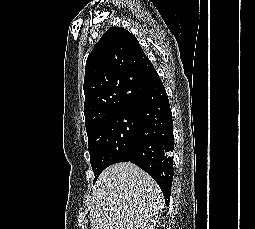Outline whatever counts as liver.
I'll return each instance as SVG.
<instances>
[{
  "label": "liver",
  "instance_id": "liver-1",
  "mask_svg": "<svg viewBox=\"0 0 255 229\" xmlns=\"http://www.w3.org/2000/svg\"><path fill=\"white\" fill-rule=\"evenodd\" d=\"M92 195L91 229H153L164 207L157 183L131 162L106 168Z\"/></svg>",
  "mask_w": 255,
  "mask_h": 229
}]
</instances>
